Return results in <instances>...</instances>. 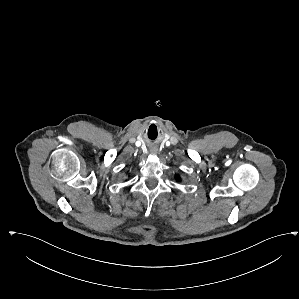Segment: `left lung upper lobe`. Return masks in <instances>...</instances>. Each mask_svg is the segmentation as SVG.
I'll return each mask as SVG.
<instances>
[{"label":"left lung upper lobe","mask_w":299,"mask_h":299,"mask_svg":"<svg viewBox=\"0 0 299 299\" xmlns=\"http://www.w3.org/2000/svg\"><path fill=\"white\" fill-rule=\"evenodd\" d=\"M176 178L180 181V178H179V176H176Z\"/></svg>","instance_id":"obj_1"}]
</instances>
